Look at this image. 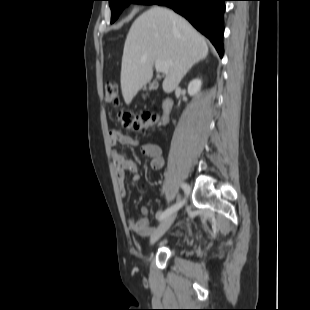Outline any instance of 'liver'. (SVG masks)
Listing matches in <instances>:
<instances>
[{
	"label": "liver",
	"mask_w": 310,
	"mask_h": 310,
	"mask_svg": "<svg viewBox=\"0 0 310 310\" xmlns=\"http://www.w3.org/2000/svg\"><path fill=\"white\" fill-rule=\"evenodd\" d=\"M207 55L204 37L188 21L166 8H150L133 22L125 41L121 65L125 103L129 105L151 81L156 61L169 63L162 87L171 93L187 71Z\"/></svg>",
	"instance_id": "6515ba94"
}]
</instances>
